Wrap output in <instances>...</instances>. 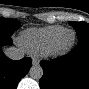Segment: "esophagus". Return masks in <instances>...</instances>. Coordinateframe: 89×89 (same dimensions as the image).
Instances as JSON below:
<instances>
[{"instance_id": "obj_1", "label": "esophagus", "mask_w": 89, "mask_h": 89, "mask_svg": "<svg viewBox=\"0 0 89 89\" xmlns=\"http://www.w3.org/2000/svg\"><path fill=\"white\" fill-rule=\"evenodd\" d=\"M32 64L33 65H38L39 64V60L35 57H32Z\"/></svg>"}]
</instances>
